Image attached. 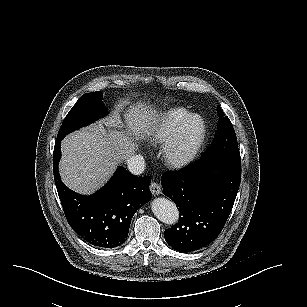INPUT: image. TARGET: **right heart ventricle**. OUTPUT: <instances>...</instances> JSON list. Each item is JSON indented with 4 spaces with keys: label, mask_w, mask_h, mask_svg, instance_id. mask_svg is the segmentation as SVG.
<instances>
[{
    "label": "right heart ventricle",
    "mask_w": 307,
    "mask_h": 307,
    "mask_svg": "<svg viewBox=\"0 0 307 307\" xmlns=\"http://www.w3.org/2000/svg\"><path fill=\"white\" fill-rule=\"evenodd\" d=\"M182 108L174 103L166 105L150 127L152 137L160 142L168 140L175 128L183 119Z\"/></svg>",
    "instance_id": "e07e8e85"
}]
</instances>
